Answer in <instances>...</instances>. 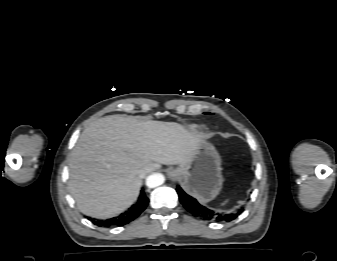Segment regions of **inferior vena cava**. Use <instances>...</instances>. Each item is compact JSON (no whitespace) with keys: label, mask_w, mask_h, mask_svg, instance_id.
<instances>
[{"label":"inferior vena cava","mask_w":337,"mask_h":261,"mask_svg":"<svg viewBox=\"0 0 337 261\" xmlns=\"http://www.w3.org/2000/svg\"><path fill=\"white\" fill-rule=\"evenodd\" d=\"M151 169L150 168H146L142 173L141 176L144 177L148 172H150Z\"/></svg>","instance_id":"obj_1"}]
</instances>
